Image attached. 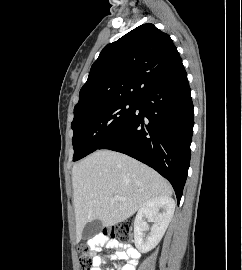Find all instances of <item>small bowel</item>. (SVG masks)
<instances>
[{"label":"small bowel","mask_w":242,"mask_h":270,"mask_svg":"<svg viewBox=\"0 0 242 270\" xmlns=\"http://www.w3.org/2000/svg\"><path fill=\"white\" fill-rule=\"evenodd\" d=\"M89 246L93 251H99L101 247L115 250V253L107 258L104 255H97L93 258L91 270H103L104 264H112L113 267L107 270H136L137 260L140 257L139 251L129 244H123L115 240L107 239L97 235L90 242ZM124 260L126 263H121Z\"/></svg>","instance_id":"obj_1"}]
</instances>
